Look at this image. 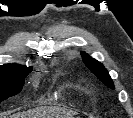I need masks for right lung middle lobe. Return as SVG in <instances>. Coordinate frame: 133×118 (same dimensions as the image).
<instances>
[{
  "label": "right lung middle lobe",
  "mask_w": 133,
  "mask_h": 118,
  "mask_svg": "<svg viewBox=\"0 0 133 118\" xmlns=\"http://www.w3.org/2000/svg\"><path fill=\"white\" fill-rule=\"evenodd\" d=\"M32 68L0 69V102L18 94Z\"/></svg>",
  "instance_id": "1"
}]
</instances>
